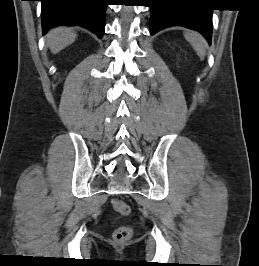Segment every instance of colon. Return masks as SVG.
<instances>
[{
  "instance_id": "1",
  "label": "colon",
  "mask_w": 259,
  "mask_h": 266,
  "mask_svg": "<svg viewBox=\"0 0 259 266\" xmlns=\"http://www.w3.org/2000/svg\"><path fill=\"white\" fill-rule=\"evenodd\" d=\"M112 206L116 212L121 215H129L130 214V207L124 201L114 199L112 201ZM133 231L128 226H122L115 230L114 232V239L118 242H126L132 237Z\"/></svg>"
}]
</instances>
